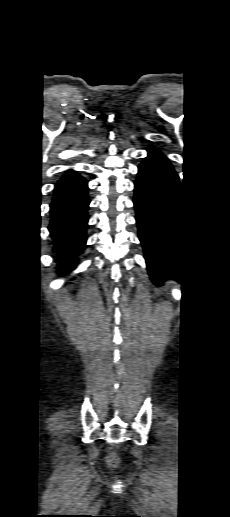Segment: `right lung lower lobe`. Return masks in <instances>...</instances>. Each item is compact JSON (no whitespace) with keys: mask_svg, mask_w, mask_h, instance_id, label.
Segmentation results:
<instances>
[{"mask_svg":"<svg viewBox=\"0 0 230 517\" xmlns=\"http://www.w3.org/2000/svg\"><path fill=\"white\" fill-rule=\"evenodd\" d=\"M87 190V181L71 170L55 185L48 228L56 245L54 251L60 256V274L75 268V255L85 248L87 209L90 203Z\"/></svg>","mask_w":230,"mask_h":517,"instance_id":"1","label":"right lung lower lobe"}]
</instances>
